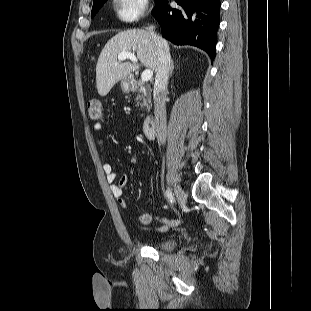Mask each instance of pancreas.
Instances as JSON below:
<instances>
[{
    "label": "pancreas",
    "instance_id": "pancreas-1",
    "mask_svg": "<svg viewBox=\"0 0 311 311\" xmlns=\"http://www.w3.org/2000/svg\"><path fill=\"white\" fill-rule=\"evenodd\" d=\"M137 87L139 88L136 97L137 106L141 109L147 108L149 110L151 105V95L149 90H147L141 82H138Z\"/></svg>",
    "mask_w": 311,
    "mask_h": 311
}]
</instances>
